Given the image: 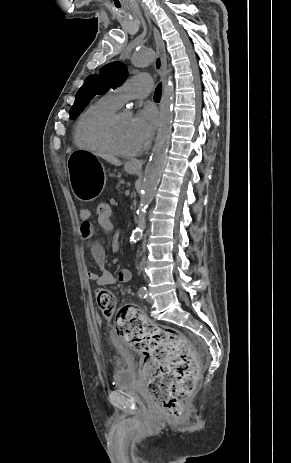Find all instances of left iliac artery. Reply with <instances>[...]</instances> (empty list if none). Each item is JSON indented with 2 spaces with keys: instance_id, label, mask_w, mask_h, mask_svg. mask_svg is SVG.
Masks as SVG:
<instances>
[{
  "instance_id": "44dca946",
  "label": "left iliac artery",
  "mask_w": 291,
  "mask_h": 463,
  "mask_svg": "<svg viewBox=\"0 0 291 463\" xmlns=\"http://www.w3.org/2000/svg\"><path fill=\"white\" fill-rule=\"evenodd\" d=\"M138 295L140 298H146L147 297V288L145 286H142L139 291Z\"/></svg>"
}]
</instances>
